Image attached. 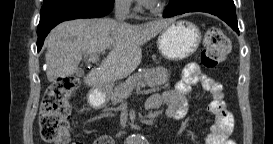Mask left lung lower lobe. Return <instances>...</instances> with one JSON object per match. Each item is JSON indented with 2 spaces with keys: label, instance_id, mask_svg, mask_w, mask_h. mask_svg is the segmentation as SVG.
Listing matches in <instances>:
<instances>
[{
  "label": "left lung lower lobe",
  "instance_id": "1",
  "mask_svg": "<svg viewBox=\"0 0 273 144\" xmlns=\"http://www.w3.org/2000/svg\"><path fill=\"white\" fill-rule=\"evenodd\" d=\"M207 12L224 20L239 33L233 0H170L163 17H173L186 12Z\"/></svg>",
  "mask_w": 273,
  "mask_h": 144
}]
</instances>
